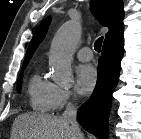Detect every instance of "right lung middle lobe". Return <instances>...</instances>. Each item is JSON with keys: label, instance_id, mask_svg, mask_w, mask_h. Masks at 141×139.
I'll list each match as a JSON object with an SVG mask.
<instances>
[{"label": "right lung middle lobe", "instance_id": "obj_1", "mask_svg": "<svg viewBox=\"0 0 141 139\" xmlns=\"http://www.w3.org/2000/svg\"><path fill=\"white\" fill-rule=\"evenodd\" d=\"M26 68V65L22 66V70ZM22 78H23V72L20 73L18 82H17V92H20L21 86H22Z\"/></svg>", "mask_w": 141, "mask_h": 139}]
</instances>
